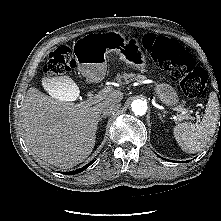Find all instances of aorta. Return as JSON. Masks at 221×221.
<instances>
[{
    "label": "aorta",
    "mask_w": 221,
    "mask_h": 221,
    "mask_svg": "<svg viewBox=\"0 0 221 221\" xmlns=\"http://www.w3.org/2000/svg\"><path fill=\"white\" fill-rule=\"evenodd\" d=\"M131 108L135 115L142 116L147 111V104L141 99H136L132 102Z\"/></svg>",
    "instance_id": "1"
}]
</instances>
